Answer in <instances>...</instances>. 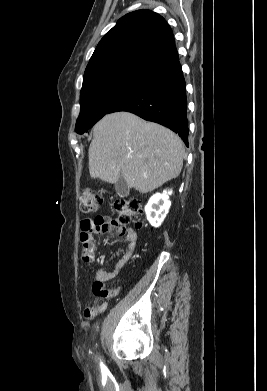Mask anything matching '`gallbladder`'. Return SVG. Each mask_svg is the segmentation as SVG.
<instances>
[{
    "label": "gallbladder",
    "mask_w": 267,
    "mask_h": 391,
    "mask_svg": "<svg viewBox=\"0 0 267 391\" xmlns=\"http://www.w3.org/2000/svg\"><path fill=\"white\" fill-rule=\"evenodd\" d=\"M115 190L119 197H127L129 195V187L123 178V176H120L118 181L115 184Z\"/></svg>",
    "instance_id": "bac80fb5"
}]
</instances>
